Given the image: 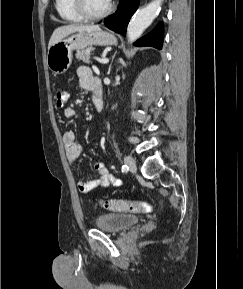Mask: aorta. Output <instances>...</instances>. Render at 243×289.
<instances>
[{
	"mask_svg": "<svg viewBox=\"0 0 243 289\" xmlns=\"http://www.w3.org/2000/svg\"><path fill=\"white\" fill-rule=\"evenodd\" d=\"M162 2L163 0H153L134 14L127 29V39L129 43L132 44L135 42L142 35L144 30L153 22L158 14Z\"/></svg>",
	"mask_w": 243,
	"mask_h": 289,
	"instance_id": "obj_1",
	"label": "aorta"
}]
</instances>
